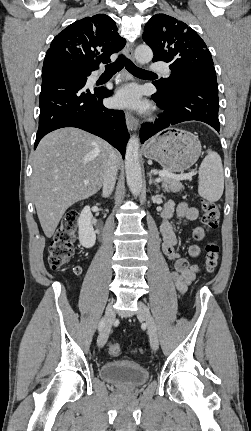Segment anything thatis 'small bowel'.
<instances>
[{
  "label": "small bowel",
  "instance_id": "obj_1",
  "mask_svg": "<svg viewBox=\"0 0 251 431\" xmlns=\"http://www.w3.org/2000/svg\"><path fill=\"white\" fill-rule=\"evenodd\" d=\"M174 215L183 223H188L197 220L199 213L196 208L190 207L185 202L175 204L173 201L167 202L162 211L163 221L160 227L163 238L162 250L166 258L172 262V271L170 273L171 280L180 293H185L188 286L195 280L199 272V266L197 264H189L188 261L182 258L176 251L178 238L170 221ZM193 237L196 240H202L205 237L204 229L202 227H196L193 230ZM200 253L201 248L199 245L192 244L189 246L188 254L190 257L196 258ZM76 269H78V273H76ZM74 273L77 275L81 274L82 268L76 267Z\"/></svg>",
  "mask_w": 251,
  "mask_h": 431
}]
</instances>
